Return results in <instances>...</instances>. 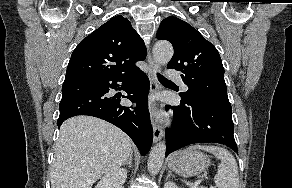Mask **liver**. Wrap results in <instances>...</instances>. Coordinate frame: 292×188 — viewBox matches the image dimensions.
Listing matches in <instances>:
<instances>
[{
  "mask_svg": "<svg viewBox=\"0 0 292 188\" xmlns=\"http://www.w3.org/2000/svg\"><path fill=\"white\" fill-rule=\"evenodd\" d=\"M132 153L131 139L114 125L76 116L60 127L51 165V188H91L120 168Z\"/></svg>",
  "mask_w": 292,
  "mask_h": 188,
  "instance_id": "liver-1",
  "label": "liver"
}]
</instances>
